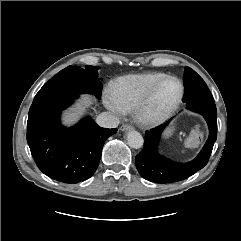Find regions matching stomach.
Listing matches in <instances>:
<instances>
[{
  "label": "stomach",
  "mask_w": 241,
  "mask_h": 241,
  "mask_svg": "<svg viewBox=\"0 0 241 241\" xmlns=\"http://www.w3.org/2000/svg\"><path fill=\"white\" fill-rule=\"evenodd\" d=\"M172 132H173V127L170 128V129L167 131V133H166V137L171 136Z\"/></svg>",
  "instance_id": "0dacf381"
}]
</instances>
